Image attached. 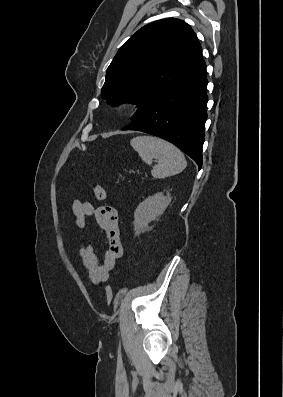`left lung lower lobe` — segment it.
Wrapping results in <instances>:
<instances>
[{
  "instance_id": "0a47b994",
  "label": "left lung lower lobe",
  "mask_w": 283,
  "mask_h": 397,
  "mask_svg": "<svg viewBox=\"0 0 283 397\" xmlns=\"http://www.w3.org/2000/svg\"><path fill=\"white\" fill-rule=\"evenodd\" d=\"M207 83L205 64L159 97L122 130H137L161 137L179 147L201 169Z\"/></svg>"
}]
</instances>
